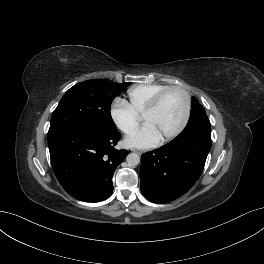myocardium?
Returning <instances> with one entry per match:
<instances>
[{"mask_svg": "<svg viewBox=\"0 0 264 264\" xmlns=\"http://www.w3.org/2000/svg\"><path fill=\"white\" fill-rule=\"evenodd\" d=\"M173 90L179 91L183 94V97H184L183 117H182V120H181V123L179 124V126L173 132L164 136L162 138V142H168V141L175 139L186 128L188 121H189L190 109H191V100H190V95H189L188 91L181 86H176V85L168 86L155 95V97L152 99V101L149 103V105L145 108V110L142 113V117L144 119L148 114L155 111L158 108V106L160 105V103L163 100V98L165 97V95L167 93H169L170 91H173Z\"/></svg>", "mask_w": 264, "mask_h": 264, "instance_id": "obj_1", "label": "myocardium"}]
</instances>
